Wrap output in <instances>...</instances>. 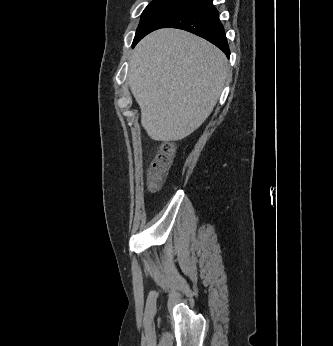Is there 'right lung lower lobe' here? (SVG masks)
<instances>
[{
  "label": "right lung lower lobe",
  "instance_id": "right-lung-lower-lobe-1",
  "mask_svg": "<svg viewBox=\"0 0 333 346\" xmlns=\"http://www.w3.org/2000/svg\"><path fill=\"white\" fill-rule=\"evenodd\" d=\"M212 1L187 0L162 28H178L194 33L216 45L229 57L225 30Z\"/></svg>",
  "mask_w": 333,
  "mask_h": 346
}]
</instances>
